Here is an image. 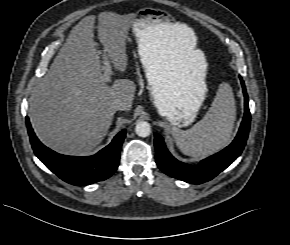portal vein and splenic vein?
Masks as SVG:
<instances>
[{"mask_svg":"<svg viewBox=\"0 0 290 245\" xmlns=\"http://www.w3.org/2000/svg\"><path fill=\"white\" fill-rule=\"evenodd\" d=\"M105 61H104V73L102 74V80L103 82H108L110 80V74H111V69H110V66H109V62L107 60V57H104Z\"/></svg>","mask_w":290,"mask_h":245,"instance_id":"portal-vein-and-splenic-vein-1","label":"portal vein and splenic vein"}]
</instances>
